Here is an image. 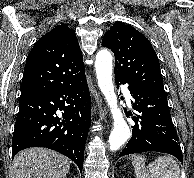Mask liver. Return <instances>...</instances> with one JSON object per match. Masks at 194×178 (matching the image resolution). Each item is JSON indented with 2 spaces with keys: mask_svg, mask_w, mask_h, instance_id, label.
Listing matches in <instances>:
<instances>
[{
  "mask_svg": "<svg viewBox=\"0 0 194 178\" xmlns=\"http://www.w3.org/2000/svg\"><path fill=\"white\" fill-rule=\"evenodd\" d=\"M71 161L50 149L29 148L20 151L12 162V178H65Z\"/></svg>",
  "mask_w": 194,
  "mask_h": 178,
  "instance_id": "obj_1",
  "label": "liver"
}]
</instances>
